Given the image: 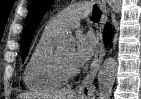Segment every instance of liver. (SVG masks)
<instances>
[{
	"mask_svg": "<svg viewBox=\"0 0 141 99\" xmlns=\"http://www.w3.org/2000/svg\"><path fill=\"white\" fill-rule=\"evenodd\" d=\"M17 99H74L73 90H61L46 94H20Z\"/></svg>",
	"mask_w": 141,
	"mask_h": 99,
	"instance_id": "liver-1",
	"label": "liver"
}]
</instances>
